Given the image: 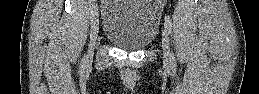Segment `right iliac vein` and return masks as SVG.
Listing matches in <instances>:
<instances>
[{
    "label": "right iliac vein",
    "instance_id": "1",
    "mask_svg": "<svg viewBox=\"0 0 259 94\" xmlns=\"http://www.w3.org/2000/svg\"><path fill=\"white\" fill-rule=\"evenodd\" d=\"M98 32H99V20H98V14L97 12H95L94 20L91 26L90 44H89V49L87 54V60H90L93 57L94 47L98 37Z\"/></svg>",
    "mask_w": 259,
    "mask_h": 94
}]
</instances>
